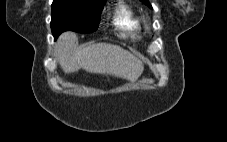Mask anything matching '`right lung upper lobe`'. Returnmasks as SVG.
I'll return each mask as SVG.
<instances>
[{"label": "right lung upper lobe", "instance_id": "cb5924a9", "mask_svg": "<svg viewBox=\"0 0 227 142\" xmlns=\"http://www.w3.org/2000/svg\"><path fill=\"white\" fill-rule=\"evenodd\" d=\"M88 1H92V2H106V0H88Z\"/></svg>", "mask_w": 227, "mask_h": 142}]
</instances>
